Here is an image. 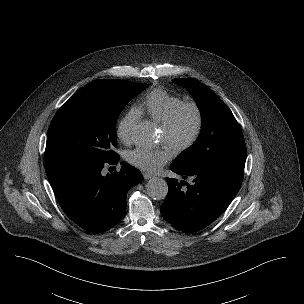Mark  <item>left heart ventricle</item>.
Instances as JSON below:
<instances>
[{"label":"left heart ventricle","mask_w":304,"mask_h":304,"mask_svg":"<svg viewBox=\"0 0 304 304\" xmlns=\"http://www.w3.org/2000/svg\"><path fill=\"white\" fill-rule=\"evenodd\" d=\"M194 127V115L190 110H186L181 115L175 128L173 139L175 141L185 140L192 132ZM160 140L165 143V135L161 131ZM166 144V143H165Z\"/></svg>","instance_id":"b2bd125f"}]
</instances>
